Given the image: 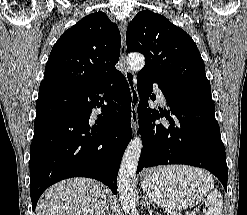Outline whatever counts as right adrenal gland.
<instances>
[{"instance_id": "2a0ac1e0", "label": "right adrenal gland", "mask_w": 247, "mask_h": 215, "mask_svg": "<svg viewBox=\"0 0 247 215\" xmlns=\"http://www.w3.org/2000/svg\"><path fill=\"white\" fill-rule=\"evenodd\" d=\"M109 212V205H108V202H107V205H106V207H105V209H104V212H103V215H105V212Z\"/></svg>"}]
</instances>
